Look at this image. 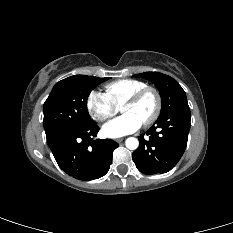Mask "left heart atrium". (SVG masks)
I'll return each instance as SVG.
<instances>
[{"label": "left heart atrium", "mask_w": 233, "mask_h": 233, "mask_svg": "<svg viewBox=\"0 0 233 233\" xmlns=\"http://www.w3.org/2000/svg\"><path fill=\"white\" fill-rule=\"evenodd\" d=\"M142 123L132 114H123L102 127L103 134L108 138H120L136 132Z\"/></svg>", "instance_id": "39dd6f15"}]
</instances>
